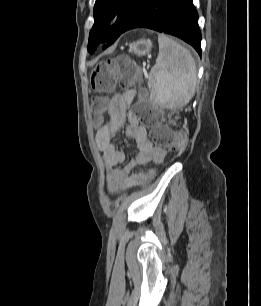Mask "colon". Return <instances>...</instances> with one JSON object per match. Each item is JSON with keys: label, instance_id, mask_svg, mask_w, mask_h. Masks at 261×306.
Instances as JSON below:
<instances>
[{"label": "colon", "instance_id": "obj_1", "mask_svg": "<svg viewBox=\"0 0 261 306\" xmlns=\"http://www.w3.org/2000/svg\"><path fill=\"white\" fill-rule=\"evenodd\" d=\"M91 87L99 94L110 92L116 83L126 92H133L135 86L140 81V71L133 61L126 56L109 59L97 64L91 71ZM144 91L140 90V95L144 97ZM105 100L103 97H95L92 101L93 109L96 113L103 110ZM137 114L140 121L152 127V139L161 147H167L178 152L183 149L186 142L184 132H173L168 126L162 125L158 111L148 105L144 100L138 108ZM154 175L153 171L147 173V178Z\"/></svg>", "mask_w": 261, "mask_h": 306}]
</instances>
